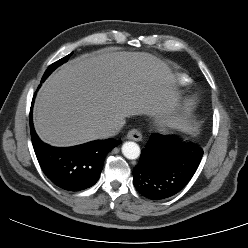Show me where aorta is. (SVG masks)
I'll list each match as a JSON object with an SVG mask.
<instances>
[{"label": "aorta", "instance_id": "obj_1", "mask_svg": "<svg viewBox=\"0 0 248 248\" xmlns=\"http://www.w3.org/2000/svg\"><path fill=\"white\" fill-rule=\"evenodd\" d=\"M122 153L127 159H137L140 156V147L135 142H125L122 145Z\"/></svg>", "mask_w": 248, "mask_h": 248}]
</instances>
